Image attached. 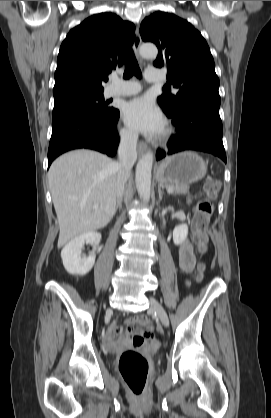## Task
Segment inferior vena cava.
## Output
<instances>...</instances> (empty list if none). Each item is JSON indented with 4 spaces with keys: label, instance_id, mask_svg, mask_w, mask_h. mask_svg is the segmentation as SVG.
Masks as SVG:
<instances>
[{
    "label": "inferior vena cava",
    "instance_id": "602c4592",
    "mask_svg": "<svg viewBox=\"0 0 271 418\" xmlns=\"http://www.w3.org/2000/svg\"><path fill=\"white\" fill-rule=\"evenodd\" d=\"M137 133H130L124 136L118 147L119 162L117 183H116V194L118 198H121L124 193V186L128 180L132 167L137 159Z\"/></svg>",
    "mask_w": 271,
    "mask_h": 418
}]
</instances>
